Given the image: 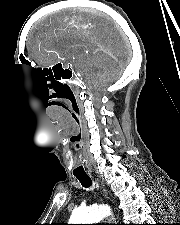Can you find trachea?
<instances>
[{"label": "trachea", "instance_id": "trachea-1", "mask_svg": "<svg viewBox=\"0 0 180 225\" xmlns=\"http://www.w3.org/2000/svg\"><path fill=\"white\" fill-rule=\"evenodd\" d=\"M76 178L80 181L83 187L88 188L92 185V181L88 175H77Z\"/></svg>", "mask_w": 180, "mask_h": 225}]
</instances>
